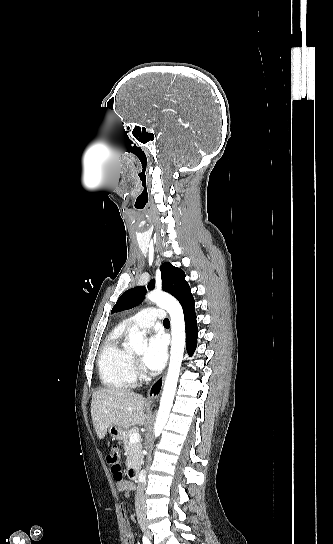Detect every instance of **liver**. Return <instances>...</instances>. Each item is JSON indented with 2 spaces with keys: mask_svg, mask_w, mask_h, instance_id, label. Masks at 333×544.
I'll return each mask as SVG.
<instances>
[{
  "mask_svg": "<svg viewBox=\"0 0 333 544\" xmlns=\"http://www.w3.org/2000/svg\"><path fill=\"white\" fill-rule=\"evenodd\" d=\"M91 416L99 439H103L110 425L129 428L143 426L148 421L144 413V398L123 389H100L93 393Z\"/></svg>",
  "mask_w": 333,
  "mask_h": 544,
  "instance_id": "6515ba94",
  "label": "liver"
}]
</instances>
